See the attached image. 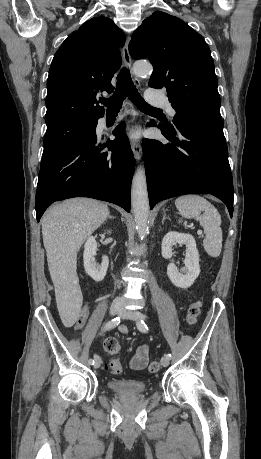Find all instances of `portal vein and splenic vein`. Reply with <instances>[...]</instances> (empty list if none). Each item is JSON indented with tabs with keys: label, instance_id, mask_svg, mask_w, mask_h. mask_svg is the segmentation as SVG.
I'll return each mask as SVG.
<instances>
[{
	"label": "portal vein and splenic vein",
	"instance_id": "18ae733b",
	"mask_svg": "<svg viewBox=\"0 0 261 459\" xmlns=\"http://www.w3.org/2000/svg\"><path fill=\"white\" fill-rule=\"evenodd\" d=\"M198 234H199V235H202V231H201V230H198Z\"/></svg>",
	"mask_w": 261,
	"mask_h": 459
}]
</instances>
